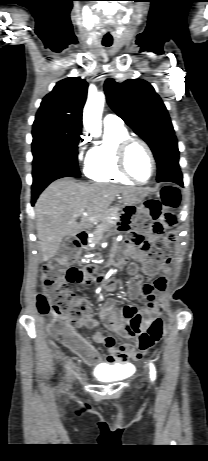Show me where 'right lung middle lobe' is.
Returning <instances> with one entry per match:
<instances>
[{
  "label": "right lung middle lobe",
  "mask_w": 208,
  "mask_h": 461,
  "mask_svg": "<svg viewBox=\"0 0 208 461\" xmlns=\"http://www.w3.org/2000/svg\"><path fill=\"white\" fill-rule=\"evenodd\" d=\"M32 133L33 180L53 171L80 177L77 146L81 130L52 120H35Z\"/></svg>",
  "instance_id": "obj_1"
}]
</instances>
